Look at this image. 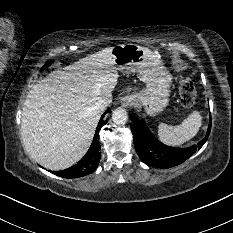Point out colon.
I'll return each instance as SVG.
<instances>
[{
	"label": "colon",
	"instance_id": "5ec220e1",
	"mask_svg": "<svg viewBox=\"0 0 233 233\" xmlns=\"http://www.w3.org/2000/svg\"><path fill=\"white\" fill-rule=\"evenodd\" d=\"M180 103L186 108L192 107L196 102V90L191 79L185 78L179 84Z\"/></svg>",
	"mask_w": 233,
	"mask_h": 233
}]
</instances>
